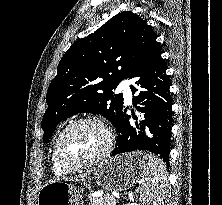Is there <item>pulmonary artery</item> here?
I'll list each match as a JSON object with an SVG mask.
<instances>
[{"mask_svg": "<svg viewBox=\"0 0 222 205\" xmlns=\"http://www.w3.org/2000/svg\"><path fill=\"white\" fill-rule=\"evenodd\" d=\"M128 84H129L128 79L123 80L119 89H120V91H123L125 99L127 101H131V91L128 87Z\"/></svg>", "mask_w": 222, "mask_h": 205, "instance_id": "e3ab8cb5", "label": "pulmonary artery"}]
</instances>
